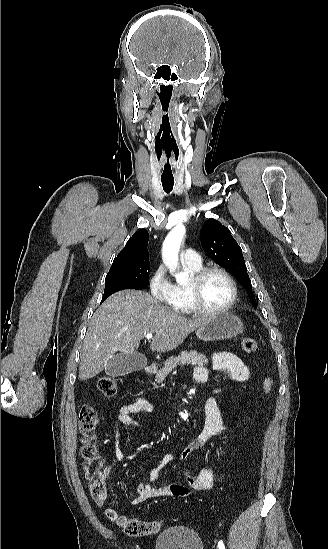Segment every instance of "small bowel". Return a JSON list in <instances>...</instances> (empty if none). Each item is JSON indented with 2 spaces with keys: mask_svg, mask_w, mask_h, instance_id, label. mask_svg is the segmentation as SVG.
Masks as SVG:
<instances>
[{
  "mask_svg": "<svg viewBox=\"0 0 328 549\" xmlns=\"http://www.w3.org/2000/svg\"><path fill=\"white\" fill-rule=\"evenodd\" d=\"M212 366L215 370L226 371L231 380L235 382H245L250 378L249 367L235 354L229 352L214 353L212 356ZM195 379H203L205 381L207 371L202 366H196L193 371ZM154 407L144 398H137L132 402L123 405L117 413V422L126 425H134L131 418L132 415L152 412ZM205 425L202 431L186 446L181 453V459L184 463L183 471L187 481V486L176 482L166 483L160 486H154L152 483L156 481L162 470L168 466L173 457L170 454H164L160 457L159 465L152 469L148 475L149 482H142L137 486V496L133 498L131 503L138 505L150 498L155 497H180L189 496L192 492L207 491L214 487L216 483V473L213 469L203 466L199 472L194 473L188 466V460L196 451L202 450L208 446L211 440L223 430V420L218 401L215 397H210L205 405ZM118 432L117 426L114 425L112 434V442L114 455L117 460L125 459V454L120 450L117 443ZM108 513H115L109 511Z\"/></svg>",
  "mask_w": 328,
  "mask_h": 549,
  "instance_id": "small-bowel-1",
  "label": "small bowel"
}]
</instances>
